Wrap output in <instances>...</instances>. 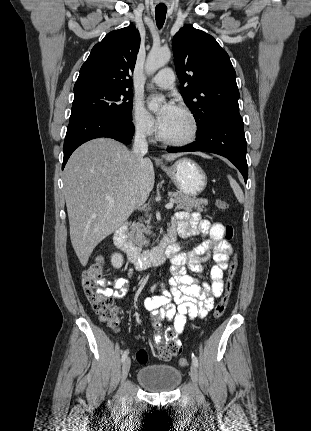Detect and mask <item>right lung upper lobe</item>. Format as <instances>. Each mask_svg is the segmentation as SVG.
<instances>
[{
	"label": "right lung upper lobe",
	"mask_w": 311,
	"mask_h": 431,
	"mask_svg": "<svg viewBox=\"0 0 311 431\" xmlns=\"http://www.w3.org/2000/svg\"><path fill=\"white\" fill-rule=\"evenodd\" d=\"M140 41V34L133 25L108 33L92 48L82 65L74 92L84 89L131 90V75Z\"/></svg>",
	"instance_id": "1"
}]
</instances>
